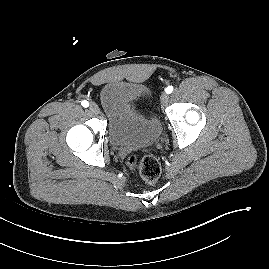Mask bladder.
I'll use <instances>...</instances> for the list:
<instances>
[{"instance_id": "1", "label": "bladder", "mask_w": 269, "mask_h": 269, "mask_svg": "<svg viewBox=\"0 0 269 269\" xmlns=\"http://www.w3.org/2000/svg\"><path fill=\"white\" fill-rule=\"evenodd\" d=\"M100 101L108 116L112 145L144 148L159 140L162 125L152 109L147 87L125 81L109 82L100 91Z\"/></svg>"}]
</instances>
